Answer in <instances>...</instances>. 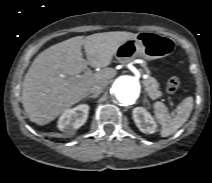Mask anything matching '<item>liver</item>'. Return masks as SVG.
I'll return each instance as SVG.
<instances>
[{
  "label": "liver",
  "mask_w": 212,
  "mask_h": 183,
  "mask_svg": "<svg viewBox=\"0 0 212 183\" xmlns=\"http://www.w3.org/2000/svg\"><path fill=\"white\" fill-rule=\"evenodd\" d=\"M137 34L125 31L76 36L42 51L32 62L22 86V104L29 119L46 125L88 96L90 88L116 75L108 66L119 47ZM84 46L87 60L82 56ZM90 65L96 73L80 75Z\"/></svg>",
  "instance_id": "1"
}]
</instances>
